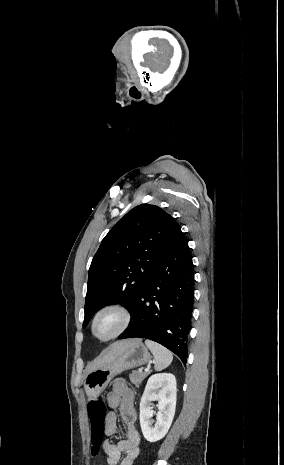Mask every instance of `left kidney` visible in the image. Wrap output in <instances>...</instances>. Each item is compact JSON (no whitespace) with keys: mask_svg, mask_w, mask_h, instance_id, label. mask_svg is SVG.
<instances>
[{"mask_svg":"<svg viewBox=\"0 0 284 465\" xmlns=\"http://www.w3.org/2000/svg\"><path fill=\"white\" fill-rule=\"evenodd\" d=\"M176 379L171 373H158L152 375L147 381L145 391L140 401V427L149 443H156L168 433L174 419L176 409ZM158 401L159 413H157L156 425L151 417L155 415L153 403Z\"/></svg>","mask_w":284,"mask_h":465,"instance_id":"1","label":"left kidney"}]
</instances>
